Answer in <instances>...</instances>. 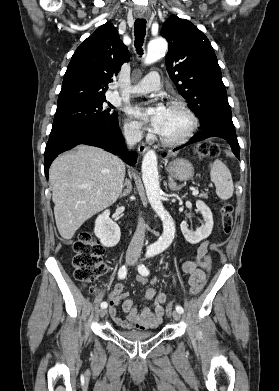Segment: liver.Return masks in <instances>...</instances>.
Segmentation results:
<instances>
[{
	"mask_svg": "<svg viewBox=\"0 0 279 391\" xmlns=\"http://www.w3.org/2000/svg\"><path fill=\"white\" fill-rule=\"evenodd\" d=\"M125 171L121 159L94 146L79 145L54 160L49 181L62 238L71 239L85 221L117 201Z\"/></svg>",
	"mask_w": 279,
	"mask_h": 391,
	"instance_id": "6515ba94",
	"label": "liver"
}]
</instances>
